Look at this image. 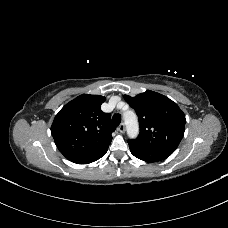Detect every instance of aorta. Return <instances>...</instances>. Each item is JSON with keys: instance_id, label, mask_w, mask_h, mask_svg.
Returning <instances> with one entry per match:
<instances>
[{"instance_id": "1", "label": "aorta", "mask_w": 228, "mask_h": 228, "mask_svg": "<svg viewBox=\"0 0 228 228\" xmlns=\"http://www.w3.org/2000/svg\"><path fill=\"white\" fill-rule=\"evenodd\" d=\"M123 116L128 137L131 139L136 138L139 133V124L136 114L133 111H127Z\"/></svg>"}]
</instances>
